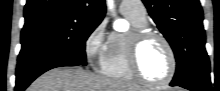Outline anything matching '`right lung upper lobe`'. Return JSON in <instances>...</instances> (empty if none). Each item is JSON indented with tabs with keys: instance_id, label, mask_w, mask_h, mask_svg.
I'll return each instance as SVG.
<instances>
[{
	"instance_id": "right-lung-upper-lobe-1",
	"label": "right lung upper lobe",
	"mask_w": 220,
	"mask_h": 91,
	"mask_svg": "<svg viewBox=\"0 0 220 91\" xmlns=\"http://www.w3.org/2000/svg\"><path fill=\"white\" fill-rule=\"evenodd\" d=\"M106 13L104 0H27L25 24L54 17H74L101 22Z\"/></svg>"
}]
</instances>
